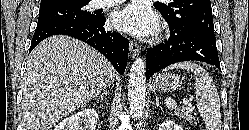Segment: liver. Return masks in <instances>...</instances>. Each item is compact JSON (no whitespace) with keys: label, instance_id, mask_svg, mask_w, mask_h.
<instances>
[{"label":"liver","instance_id":"6515ba94","mask_svg":"<svg viewBox=\"0 0 249 130\" xmlns=\"http://www.w3.org/2000/svg\"><path fill=\"white\" fill-rule=\"evenodd\" d=\"M115 70L94 48L68 36H52L30 53L23 78V130H49L95 99L113 82Z\"/></svg>","mask_w":249,"mask_h":130}]
</instances>
